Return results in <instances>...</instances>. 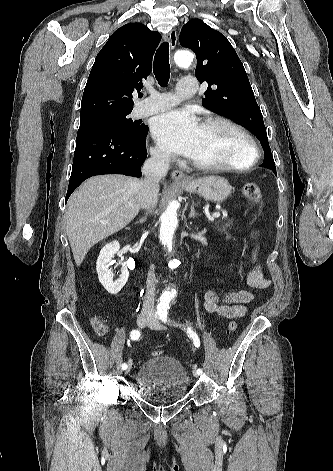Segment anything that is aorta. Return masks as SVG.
<instances>
[{"label":"aorta","mask_w":333,"mask_h":471,"mask_svg":"<svg viewBox=\"0 0 333 471\" xmlns=\"http://www.w3.org/2000/svg\"><path fill=\"white\" fill-rule=\"evenodd\" d=\"M193 61V54L187 50L178 51L175 54V62L179 67L185 68L190 65ZM179 207V203L177 201H172L167 206L166 210L162 213L160 217L161 226H160V235L159 239L161 243L169 250H172L173 246V235L175 229L178 225L177 219V209ZM177 295L176 290H166L162 293L160 297V304L161 308H168L170 301L175 298Z\"/></svg>","instance_id":"762f6f07"}]
</instances>
